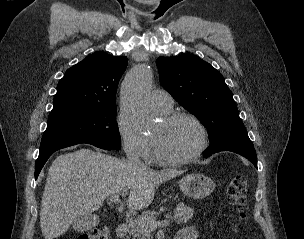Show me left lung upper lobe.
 Listing matches in <instances>:
<instances>
[{
    "mask_svg": "<svg viewBox=\"0 0 304 239\" xmlns=\"http://www.w3.org/2000/svg\"><path fill=\"white\" fill-rule=\"evenodd\" d=\"M161 85L208 129L205 152L254 148L222 74L195 55L159 57Z\"/></svg>",
    "mask_w": 304,
    "mask_h": 239,
    "instance_id": "obj_1",
    "label": "left lung upper lobe"
}]
</instances>
